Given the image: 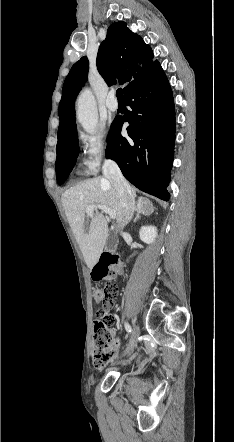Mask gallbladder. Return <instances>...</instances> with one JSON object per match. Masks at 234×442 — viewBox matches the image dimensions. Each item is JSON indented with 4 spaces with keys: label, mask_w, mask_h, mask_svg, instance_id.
Returning <instances> with one entry per match:
<instances>
[{
    "label": "gallbladder",
    "mask_w": 234,
    "mask_h": 442,
    "mask_svg": "<svg viewBox=\"0 0 234 442\" xmlns=\"http://www.w3.org/2000/svg\"><path fill=\"white\" fill-rule=\"evenodd\" d=\"M107 249L108 250H113L114 249V242L112 237L109 238L108 244H107Z\"/></svg>",
    "instance_id": "gallbladder-1"
}]
</instances>
